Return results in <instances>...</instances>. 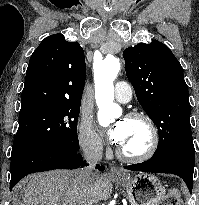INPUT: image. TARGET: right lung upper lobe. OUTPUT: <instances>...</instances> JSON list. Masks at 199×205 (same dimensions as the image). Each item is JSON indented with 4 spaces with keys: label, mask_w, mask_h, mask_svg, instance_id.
Instances as JSON below:
<instances>
[{
    "label": "right lung upper lobe",
    "mask_w": 199,
    "mask_h": 205,
    "mask_svg": "<svg viewBox=\"0 0 199 205\" xmlns=\"http://www.w3.org/2000/svg\"><path fill=\"white\" fill-rule=\"evenodd\" d=\"M84 51L78 42L54 34L31 55L21 111L42 105L80 104L85 84Z\"/></svg>",
    "instance_id": "cb5924a9"
}]
</instances>
